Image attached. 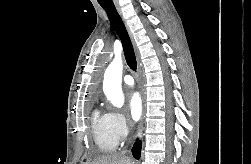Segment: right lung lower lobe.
<instances>
[{"instance_id":"right-lung-lower-lobe-1","label":"right lung lower lobe","mask_w":251,"mask_h":164,"mask_svg":"<svg viewBox=\"0 0 251 164\" xmlns=\"http://www.w3.org/2000/svg\"><path fill=\"white\" fill-rule=\"evenodd\" d=\"M140 152H141V144L139 141H137L132 148V154L134 158L138 159L140 157Z\"/></svg>"}]
</instances>
